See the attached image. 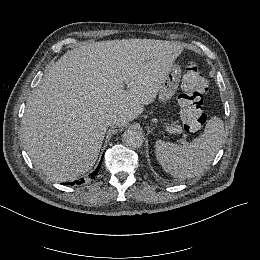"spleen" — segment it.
<instances>
[{"mask_svg":"<svg viewBox=\"0 0 260 260\" xmlns=\"http://www.w3.org/2000/svg\"><path fill=\"white\" fill-rule=\"evenodd\" d=\"M225 134L224 122L219 117L207 121L204 133L190 143L178 145L161 140L156 142L155 154L162 168L174 178L198 176L214 160Z\"/></svg>","mask_w":260,"mask_h":260,"instance_id":"obj_1","label":"spleen"}]
</instances>
